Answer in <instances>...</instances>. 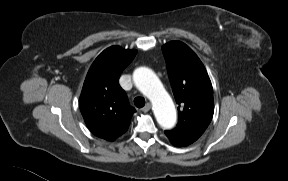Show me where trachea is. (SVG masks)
<instances>
[{
  "label": "trachea",
  "mask_w": 288,
  "mask_h": 181,
  "mask_svg": "<svg viewBox=\"0 0 288 181\" xmlns=\"http://www.w3.org/2000/svg\"><path fill=\"white\" fill-rule=\"evenodd\" d=\"M134 104L138 108H142L145 105V99L143 97H136L134 99Z\"/></svg>",
  "instance_id": "3493384b"
}]
</instances>
